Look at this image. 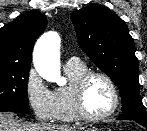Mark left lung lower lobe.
I'll return each instance as SVG.
<instances>
[{
  "label": "left lung lower lobe",
  "instance_id": "obj_1",
  "mask_svg": "<svg viewBox=\"0 0 147 131\" xmlns=\"http://www.w3.org/2000/svg\"><path fill=\"white\" fill-rule=\"evenodd\" d=\"M138 123L141 124V125H143L147 129V123H142V122H138Z\"/></svg>",
  "mask_w": 147,
  "mask_h": 131
}]
</instances>
